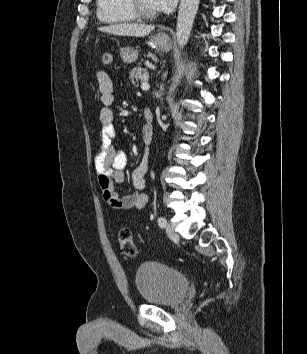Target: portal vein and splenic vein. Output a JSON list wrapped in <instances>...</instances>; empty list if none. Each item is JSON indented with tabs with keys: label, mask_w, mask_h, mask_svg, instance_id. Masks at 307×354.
<instances>
[{
	"label": "portal vein and splenic vein",
	"mask_w": 307,
	"mask_h": 354,
	"mask_svg": "<svg viewBox=\"0 0 307 354\" xmlns=\"http://www.w3.org/2000/svg\"><path fill=\"white\" fill-rule=\"evenodd\" d=\"M149 88H150V85L146 81L142 82V84H141L142 90H148Z\"/></svg>",
	"instance_id": "portal-vein-and-splenic-vein-1"
}]
</instances>
